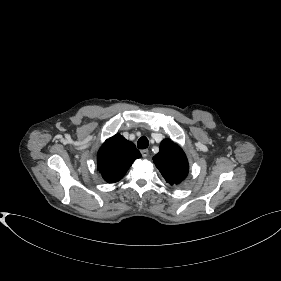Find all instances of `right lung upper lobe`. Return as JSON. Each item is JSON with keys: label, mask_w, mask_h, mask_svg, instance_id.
Returning a JSON list of instances; mask_svg holds the SVG:
<instances>
[{"label": "right lung upper lobe", "mask_w": 281, "mask_h": 281, "mask_svg": "<svg viewBox=\"0 0 281 281\" xmlns=\"http://www.w3.org/2000/svg\"><path fill=\"white\" fill-rule=\"evenodd\" d=\"M141 157L135 145L120 134L107 139L97 155L98 170L108 183L119 181L132 163Z\"/></svg>", "instance_id": "1"}]
</instances>
